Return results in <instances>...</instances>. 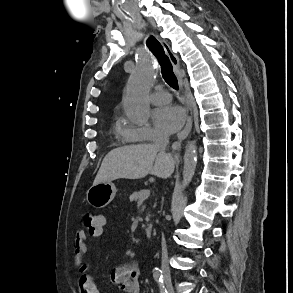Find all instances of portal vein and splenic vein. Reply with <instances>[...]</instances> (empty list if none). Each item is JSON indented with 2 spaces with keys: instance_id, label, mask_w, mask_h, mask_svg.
Segmentation results:
<instances>
[{
  "instance_id": "18ae733b",
  "label": "portal vein and splenic vein",
  "mask_w": 293,
  "mask_h": 293,
  "mask_svg": "<svg viewBox=\"0 0 293 293\" xmlns=\"http://www.w3.org/2000/svg\"><path fill=\"white\" fill-rule=\"evenodd\" d=\"M150 196V190H147L140 198V201H144L146 199H148V197Z\"/></svg>"
}]
</instances>
